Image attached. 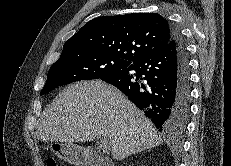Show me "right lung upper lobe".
<instances>
[{
	"label": "right lung upper lobe",
	"mask_w": 231,
	"mask_h": 166,
	"mask_svg": "<svg viewBox=\"0 0 231 166\" xmlns=\"http://www.w3.org/2000/svg\"><path fill=\"white\" fill-rule=\"evenodd\" d=\"M172 39V26L157 13L102 16L86 23L63 46L60 57L97 52L135 61L159 52Z\"/></svg>",
	"instance_id": "1"
}]
</instances>
